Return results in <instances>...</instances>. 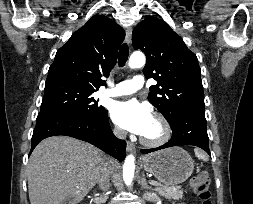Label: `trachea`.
<instances>
[{
	"instance_id": "obj_1",
	"label": "trachea",
	"mask_w": 253,
	"mask_h": 204,
	"mask_svg": "<svg viewBox=\"0 0 253 204\" xmlns=\"http://www.w3.org/2000/svg\"><path fill=\"white\" fill-rule=\"evenodd\" d=\"M128 55H129V49H128V45L126 43H124L119 51V55H118V64L120 67H123L128 59Z\"/></svg>"
}]
</instances>
